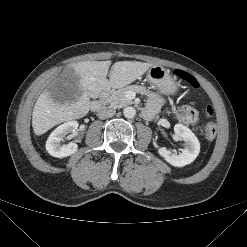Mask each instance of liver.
<instances>
[{
    "instance_id": "6515ba94",
    "label": "liver",
    "mask_w": 247,
    "mask_h": 247,
    "mask_svg": "<svg viewBox=\"0 0 247 247\" xmlns=\"http://www.w3.org/2000/svg\"><path fill=\"white\" fill-rule=\"evenodd\" d=\"M110 65V60L83 61L65 68L62 76L70 81V88L75 89V93L69 90L59 94L48 90L41 93L32 113L34 133L42 135L64 121L84 117L90 110V98L134 82L153 66L139 61H118L112 65L107 79Z\"/></svg>"
}]
</instances>
